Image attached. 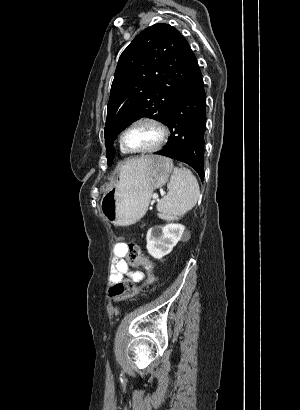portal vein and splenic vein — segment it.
<instances>
[{
  "instance_id": "obj_1",
  "label": "portal vein and splenic vein",
  "mask_w": 300,
  "mask_h": 410,
  "mask_svg": "<svg viewBox=\"0 0 300 410\" xmlns=\"http://www.w3.org/2000/svg\"><path fill=\"white\" fill-rule=\"evenodd\" d=\"M158 194L157 193H154L153 195H152V198L154 199V200H158Z\"/></svg>"
}]
</instances>
